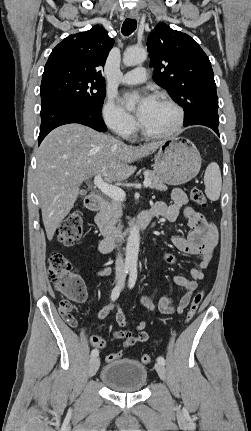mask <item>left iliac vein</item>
Returning a JSON list of instances; mask_svg holds the SVG:
<instances>
[{"mask_svg":"<svg viewBox=\"0 0 251 431\" xmlns=\"http://www.w3.org/2000/svg\"><path fill=\"white\" fill-rule=\"evenodd\" d=\"M155 369H156V371H157V373H158L159 377H160L163 381H165V380H166V369H165V366H164L162 363L157 362V363L155 364Z\"/></svg>","mask_w":251,"mask_h":431,"instance_id":"obj_1","label":"left iliac vein"}]
</instances>
